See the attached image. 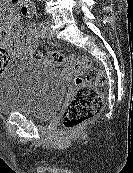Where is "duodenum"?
Masks as SVG:
<instances>
[{
  "label": "duodenum",
  "instance_id": "410a0bca",
  "mask_svg": "<svg viewBox=\"0 0 133 173\" xmlns=\"http://www.w3.org/2000/svg\"><path fill=\"white\" fill-rule=\"evenodd\" d=\"M15 1H20L21 7L23 8L24 12H26V13L30 12L29 0H15Z\"/></svg>",
  "mask_w": 133,
  "mask_h": 173
}]
</instances>
